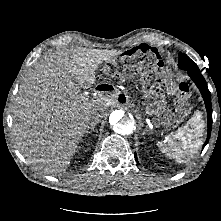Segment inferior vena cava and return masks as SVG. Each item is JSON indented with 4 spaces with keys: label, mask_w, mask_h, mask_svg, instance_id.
<instances>
[{
    "label": "inferior vena cava",
    "mask_w": 221,
    "mask_h": 221,
    "mask_svg": "<svg viewBox=\"0 0 221 221\" xmlns=\"http://www.w3.org/2000/svg\"><path fill=\"white\" fill-rule=\"evenodd\" d=\"M101 118H103L102 115L100 114H95L92 116L93 122L91 123V125H95L97 123H99V121L101 120Z\"/></svg>",
    "instance_id": "inferior-vena-cava-1"
}]
</instances>
